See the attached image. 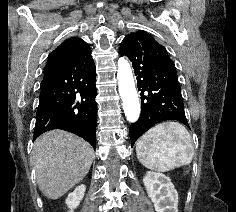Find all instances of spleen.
Wrapping results in <instances>:
<instances>
[{
    "label": "spleen",
    "instance_id": "obj_1",
    "mask_svg": "<svg viewBox=\"0 0 236 212\" xmlns=\"http://www.w3.org/2000/svg\"><path fill=\"white\" fill-rule=\"evenodd\" d=\"M139 162L148 169L166 172L191 163L194 145L188 130L175 121L149 129L136 143Z\"/></svg>",
    "mask_w": 236,
    "mask_h": 212
}]
</instances>
